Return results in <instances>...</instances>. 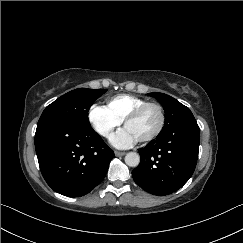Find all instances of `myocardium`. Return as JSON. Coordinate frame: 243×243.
I'll use <instances>...</instances> for the list:
<instances>
[{
    "label": "myocardium",
    "instance_id": "f54148a6",
    "mask_svg": "<svg viewBox=\"0 0 243 243\" xmlns=\"http://www.w3.org/2000/svg\"><path fill=\"white\" fill-rule=\"evenodd\" d=\"M149 107H155L158 110L160 121L158 127L152 134L138 141L140 144L149 143L162 133L166 123V113L164 107L158 102H147L135 108L124 119V125L126 126L129 122L137 119Z\"/></svg>",
    "mask_w": 243,
    "mask_h": 243
}]
</instances>
